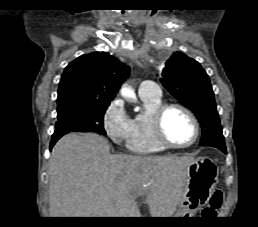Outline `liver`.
<instances>
[{
	"mask_svg": "<svg viewBox=\"0 0 258 227\" xmlns=\"http://www.w3.org/2000/svg\"><path fill=\"white\" fill-rule=\"evenodd\" d=\"M106 138L71 133L49 160L50 217H140L145 196L151 217H171L183 192L190 156L112 155Z\"/></svg>",
	"mask_w": 258,
	"mask_h": 227,
	"instance_id": "1",
	"label": "liver"
}]
</instances>
